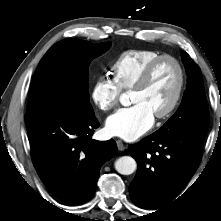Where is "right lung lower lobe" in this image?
Instances as JSON below:
<instances>
[{"label":"right lung lower lobe","mask_w":221,"mask_h":221,"mask_svg":"<svg viewBox=\"0 0 221 221\" xmlns=\"http://www.w3.org/2000/svg\"><path fill=\"white\" fill-rule=\"evenodd\" d=\"M25 123L34 167L49 191L67 204L89 201L101 166L117 150L113 139H92L99 127L95 115L44 109L27 113Z\"/></svg>","instance_id":"1"}]
</instances>
